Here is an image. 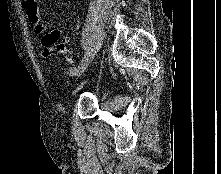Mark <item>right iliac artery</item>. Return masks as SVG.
Here are the masks:
<instances>
[{
    "label": "right iliac artery",
    "instance_id": "right-iliac-artery-1",
    "mask_svg": "<svg viewBox=\"0 0 221 174\" xmlns=\"http://www.w3.org/2000/svg\"><path fill=\"white\" fill-rule=\"evenodd\" d=\"M76 72H77L76 68H70L68 71L69 75H74L76 74Z\"/></svg>",
    "mask_w": 221,
    "mask_h": 174
}]
</instances>
